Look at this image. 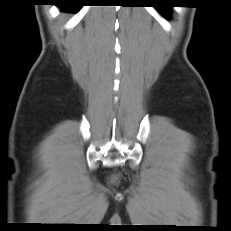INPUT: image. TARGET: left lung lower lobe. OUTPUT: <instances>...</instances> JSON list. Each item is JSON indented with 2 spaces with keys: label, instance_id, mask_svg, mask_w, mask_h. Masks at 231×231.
Here are the masks:
<instances>
[{
  "label": "left lung lower lobe",
  "instance_id": "0a47b994",
  "mask_svg": "<svg viewBox=\"0 0 231 231\" xmlns=\"http://www.w3.org/2000/svg\"><path fill=\"white\" fill-rule=\"evenodd\" d=\"M159 8L161 9H167L169 8L170 6H158ZM160 13L163 15V16H166L167 15V10H161Z\"/></svg>",
  "mask_w": 231,
  "mask_h": 231
}]
</instances>
